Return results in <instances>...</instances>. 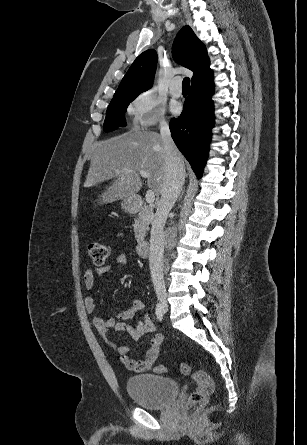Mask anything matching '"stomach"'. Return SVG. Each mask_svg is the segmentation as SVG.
Returning <instances> with one entry per match:
<instances>
[{"instance_id":"obj_1","label":"stomach","mask_w":307,"mask_h":445,"mask_svg":"<svg viewBox=\"0 0 307 445\" xmlns=\"http://www.w3.org/2000/svg\"><path fill=\"white\" fill-rule=\"evenodd\" d=\"M121 206L122 208H124V210H128L130 202H127V200H123V202H121Z\"/></svg>"}]
</instances>
